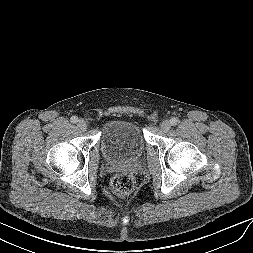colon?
Returning <instances> with one entry per match:
<instances>
[{
	"mask_svg": "<svg viewBox=\"0 0 253 253\" xmlns=\"http://www.w3.org/2000/svg\"><path fill=\"white\" fill-rule=\"evenodd\" d=\"M134 178L129 174H119L112 181L113 189L116 193L124 195L131 192L134 188Z\"/></svg>",
	"mask_w": 253,
	"mask_h": 253,
	"instance_id": "obj_1",
	"label": "colon"
}]
</instances>
